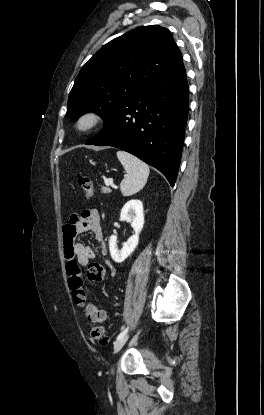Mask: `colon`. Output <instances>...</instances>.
<instances>
[{
	"label": "colon",
	"mask_w": 264,
	"mask_h": 415,
	"mask_svg": "<svg viewBox=\"0 0 264 415\" xmlns=\"http://www.w3.org/2000/svg\"><path fill=\"white\" fill-rule=\"evenodd\" d=\"M77 182L79 187L87 197L94 196V188L90 179L78 173ZM81 268L76 262H70L67 266L68 286L72 292L74 301L78 306L83 307L87 324L91 328V337L101 345L108 343V337L105 334L104 328L100 323L104 319V315L95 305L88 301L87 293L83 288V278L81 275ZM104 267L98 263H91L85 269V278L89 281H101L104 278Z\"/></svg>",
	"instance_id": "1"
}]
</instances>
